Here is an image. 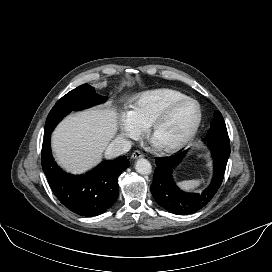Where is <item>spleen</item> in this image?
<instances>
[{"label":"spleen","mask_w":272,"mask_h":272,"mask_svg":"<svg viewBox=\"0 0 272 272\" xmlns=\"http://www.w3.org/2000/svg\"><path fill=\"white\" fill-rule=\"evenodd\" d=\"M202 180H185L179 183V186L184 190H192L200 185Z\"/></svg>","instance_id":"spleen-1"}]
</instances>
